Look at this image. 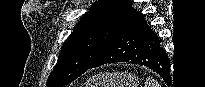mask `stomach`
<instances>
[{
	"label": "stomach",
	"instance_id": "stomach-1",
	"mask_svg": "<svg viewBox=\"0 0 205 87\" xmlns=\"http://www.w3.org/2000/svg\"><path fill=\"white\" fill-rule=\"evenodd\" d=\"M139 84L138 78L126 72L117 73H102L90 78L86 87H137Z\"/></svg>",
	"mask_w": 205,
	"mask_h": 87
}]
</instances>
